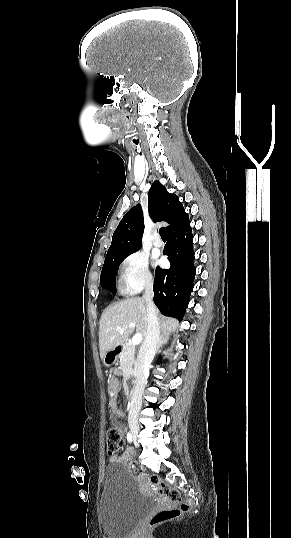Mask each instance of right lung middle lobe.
Segmentation results:
<instances>
[{
  "label": "right lung middle lobe",
  "mask_w": 291,
  "mask_h": 538,
  "mask_svg": "<svg viewBox=\"0 0 291 538\" xmlns=\"http://www.w3.org/2000/svg\"><path fill=\"white\" fill-rule=\"evenodd\" d=\"M128 255H124V256L118 257L116 259L108 260V261L105 260L104 262V265L101 271V276H100V283L103 288L110 290L113 295H115L116 293L115 278L117 274V269L120 263Z\"/></svg>",
  "instance_id": "obj_1"
}]
</instances>
